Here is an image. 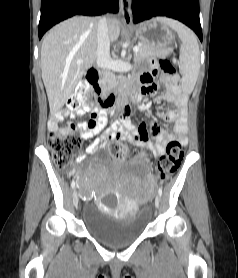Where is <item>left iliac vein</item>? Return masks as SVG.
Listing matches in <instances>:
<instances>
[{
	"mask_svg": "<svg viewBox=\"0 0 238 278\" xmlns=\"http://www.w3.org/2000/svg\"><path fill=\"white\" fill-rule=\"evenodd\" d=\"M159 204H160V197L156 196V198H155V206L158 208Z\"/></svg>",
	"mask_w": 238,
	"mask_h": 278,
	"instance_id": "left-iliac-vein-1",
	"label": "left iliac vein"
}]
</instances>
